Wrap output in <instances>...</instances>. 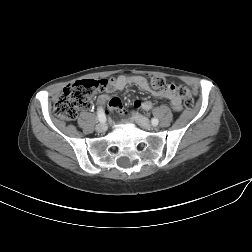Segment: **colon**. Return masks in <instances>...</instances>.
Wrapping results in <instances>:
<instances>
[{
	"label": "colon",
	"instance_id": "1",
	"mask_svg": "<svg viewBox=\"0 0 252 252\" xmlns=\"http://www.w3.org/2000/svg\"><path fill=\"white\" fill-rule=\"evenodd\" d=\"M107 80L86 79L69 84L63 89L62 94L54 105V113L65 120L74 119L78 112L90 104L92 97L101 89L106 87ZM150 85L154 89H174L183 99L186 108L194 106V99L190 90L185 86L176 88L160 76L150 79Z\"/></svg>",
	"mask_w": 252,
	"mask_h": 252
}]
</instances>
